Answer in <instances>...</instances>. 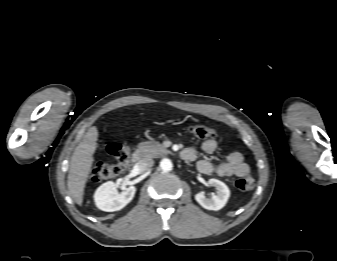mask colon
Masks as SVG:
<instances>
[{
	"mask_svg": "<svg viewBox=\"0 0 337 261\" xmlns=\"http://www.w3.org/2000/svg\"><path fill=\"white\" fill-rule=\"evenodd\" d=\"M191 135L199 140H215L218 135L216 131L204 125H192L188 128ZM109 156L115 161L114 164L98 162L93 165L90 177L95 182L115 178L122 174L129 163V148L121 143H110L107 146ZM255 182L251 176H243L235 181V187L243 192L254 188Z\"/></svg>",
	"mask_w": 337,
	"mask_h": 261,
	"instance_id": "5ec220e1",
	"label": "colon"
}]
</instances>
